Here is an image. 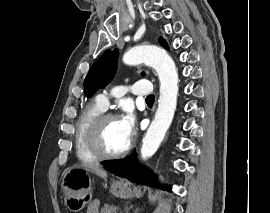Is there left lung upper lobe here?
Here are the masks:
<instances>
[{"mask_svg":"<svg viewBox=\"0 0 270 213\" xmlns=\"http://www.w3.org/2000/svg\"><path fill=\"white\" fill-rule=\"evenodd\" d=\"M159 43L168 49V45L163 38H160ZM118 50L106 51L90 68L84 80V92L87 96H91L98 89L106 86L114 77L117 68ZM145 73L142 72L143 76Z\"/></svg>","mask_w":270,"mask_h":213,"instance_id":"5c2ea615","label":"left lung upper lobe"}]
</instances>
